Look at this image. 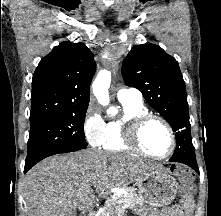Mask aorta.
<instances>
[{"label": "aorta", "instance_id": "aorta-1", "mask_svg": "<svg viewBox=\"0 0 221 216\" xmlns=\"http://www.w3.org/2000/svg\"><path fill=\"white\" fill-rule=\"evenodd\" d=\"M111 82V74L109 71L102 70L98 73L96 79L92 84L93 93L96 96L98 102L106 106L109 104V93L108 89ZM107 113L110 115L117 114V109L114 107H110L107 110Z\"/></svg>", "mask_w": 221, "mask_h": 216}]
</instances>
